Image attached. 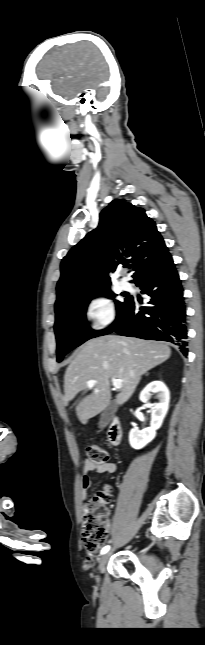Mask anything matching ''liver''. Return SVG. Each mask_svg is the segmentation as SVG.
I'll use <instances>...</instances> for the list:
<instances>
[{"mask_svg": "<svg viewBox=\"0 0 205 645\" xmlns=\"http://www.w3.org/2000/svg\"><path fill=\"white\" fill-rule=\"evenodd\" d=\"M170 355L171 349L160 342L113 335L90 339L65 372L64 405L80 392L90 390L76 405L79 421L86 424L110 403V378L122 380L121 392L116 396V403L122 405L134 393L141 376ZM91 379L96 381L92 387L87 385Z\"/></svg>", "mask_w": 205, "mask_h": 645, "instance_id": "6515ba94", "label": "liver"}]
</instances>
